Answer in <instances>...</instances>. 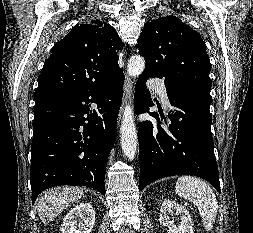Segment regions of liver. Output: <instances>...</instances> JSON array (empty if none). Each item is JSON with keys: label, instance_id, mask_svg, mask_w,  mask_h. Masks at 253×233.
<instances>
[{"label": "liver", "instance_id": "liver-1", "mask_svg": "<svg viewBox=\"0 0 253 233\" xmlns=\"http://www.w3.org/2000/svg\"><path fill=\"white\" fill-rule=\"evenodd\" d=\"M83 189L79 187H56L43 192L37 201V211L44 224L53 221L71 203L80 199Z\"/></svg>", "mask_w": 253, "mask_h": 233}]
</instances>
